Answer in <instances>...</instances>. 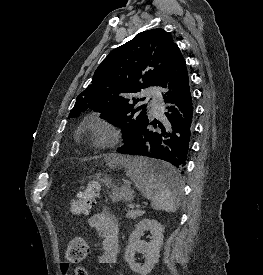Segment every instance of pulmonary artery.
<instances>
[{
	"mask_svg": "<svg viewBox=\"0 0 263 275\" xmlns=\"http://www.w3.org/2000/svg\"><path fill=\"white\" fill-rule=\"evenodd\" d=\"M147 100H150V107L154 113H158L162 108V96L157 88H149L145 93Z\"/></svg>",
	"mask_w": 263,
	"mask_h": 275,
	"instance_id": "pulmonary-artery-1",
	"label": "pulmonary artery"
}]
</instances>
